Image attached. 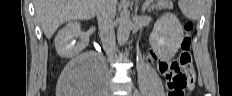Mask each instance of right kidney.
<instances>
[{"instance_id": "right-kidney-1", "label": "right kidney", "mask_w": 232, "mask_h": 96, "mask_svg": "<svg viewBox=\"0 0 232 96\" xmlns=\"http://www.w3.org/2000/svg\"><path fill=\"white\" fill-rule=\"evenodd\" d=\"M80 38L81 40L76 43L74 38ZM89 42V36L80 29V23L69 22L64 28H62L56 38L55 47L57 53L63 58H73L78 55Z\"/></svg>"}]
</instances>
